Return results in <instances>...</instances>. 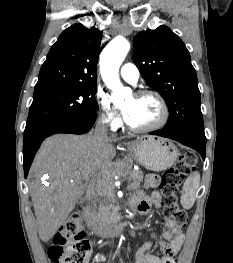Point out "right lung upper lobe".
<instances>
[{
	"mask_svg": "<svg viewBox=\"0 0 233 263\" xmlns=\"http://www.w3.org/2000/svg\"><path fill=\"white\" fill-rule=\"evenodd\" d=\"M101 32L74 24L59 36L42 64L34 95L79 85H97Z\"/></svg>",
	"mask_w": 233,
	"mask_h": 263,
	"instance_id": "obj_1",
	"label": "right lung upper lobe"
}]
</instances>
